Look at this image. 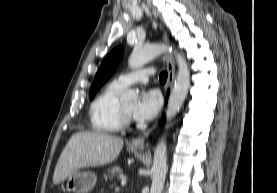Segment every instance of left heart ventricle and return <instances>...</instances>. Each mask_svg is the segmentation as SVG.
Listing matches in <instances>:
<instances>
[{"mask_svg":"<svg viewBox=\"0 0 277 193\" xmlns=\"http://www.w3.org/2000/svg\"><path fill=\"white\" fill-rule=\"evenodd\" d=\"M124 109L129 113V114H132L133 113V110L135 108V104L134 103H131V104H126L123 106Z\"/></svg>","mask_w":277,"mask_h":193,"instance_id":"left-heart-ventricle-1","label":"left heart ventricle"}]
</instances>
